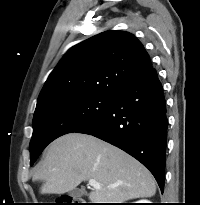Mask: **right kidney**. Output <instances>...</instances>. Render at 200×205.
<instances>
[{
	"instance_id": "ca27d5eb",
	"label": "right kidney",
	"mask_w": 200,
	"mask_h": 205,
	"mask_svg": "<svg viewBox=\"0 0 200 205\" xmlns=\"http://www.w3.org/2000/svg\"><path fill=\"white\" fill-rule=\"evenodd\" d=\"M135 203H151V202L146 200V199H143V200H140V201H136Z\"/></svg>"
}]
</instances>
